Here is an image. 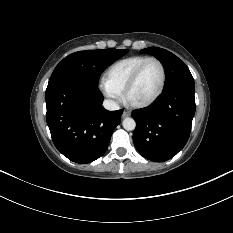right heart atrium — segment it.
Masks as SVG:
<instances>
[{
  "instance_id": "1",
  "label": "right heart atrium",
  "mask_w": 233,
  "mask_h": 233,
  "mask_svg": "<svg viewBox=\"0 0 233 233\" xmlns=\"http://www.w3.org/2000/svg\"><path fill=\"white\" fill-rule=\"evenodd\" d=\"M100 89L104 96L107 97L113 104H117L122 100V93L110 86L104 80L100 84Z\"/></svg>"
}]
</instances>
